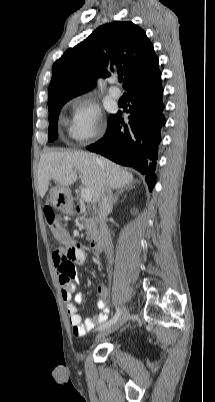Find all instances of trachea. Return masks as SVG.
<instances>
[{"label": "trachea", "mask_w": 215, "mask_h": 402, "mask_svg": "<svg viewBox=\"0 0 215 402\" xmlns=\"http://www.w3.org/2000/svg\"><path fill=\"white\" fill-rule=\"evenodd\" d=\"M118 81H119V82H123V77H119V78H118Z\"/></svg>", "instance_id": "3493384b"}]
</instances>
